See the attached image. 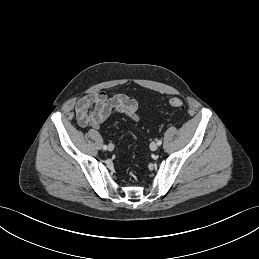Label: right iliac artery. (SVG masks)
Wrapping results in <instances>:
<instances>
[{
	"instance_id": "right-iliac-artery-1",
	"label": "right iliac artery",
	"mask_w": 259,
	"mask_h": 259,
	"mask_svg": "<svg viewBox=\"0 0 259 259\" xmlns=\"http://www.w3.org/2000/svg\"><path fill=\"white\" fill-rule=\"evenodd\" d=\"M103 149H104V150H107V145H103Z\"/></svg>"
}]
</instances>
